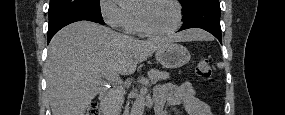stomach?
Instances as JSON below:
<instances>
[{"label":"stomach","instance_id":"stomach-1","mask_svg":"<svg viewBox=\"0 0 285 115\" xmlns=\"http://www.w3.org/2000/svg\"><path fill=\"white\" fill-rule=\"evenodd\" d=\"M155 56L163 67L169 69L182 67L189 62L191 57L187 48L174 42L156 50Z\"/></svg>","mask_w":285,"mask_h":115}]
</instances>
